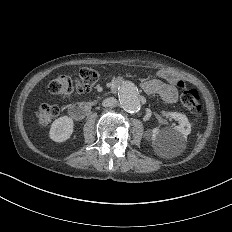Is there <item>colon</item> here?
I'll return each mask as SVG.
<instances>
[{
  "label": "colon",
  "instance_id": "1",
  "mask_svg": "<svg viewBox=\"0 0 232 232\" xmlns=\"http://www.w3.org/2000/svg\"><path fill=\"white\" fill-rule=\"evenodd\" d=\"M76 73L79 74H55V79L58 80L49 81L50 93H70L71 89H74L75 92L84 94L91 91L93 82L99 79V73L94 68H76ZM198 96L197 88H187L183 94V102H180L179 106L188 107L190 112L198 114L199 111H203ZM37 112L43 114L37 117V127L41 131H46L50 127L51 117H59L61 108L49 106L48 102H41Z\"/></svg>",
  "mask_w": 232,
  "mask_h": 232
}]
</instances>
